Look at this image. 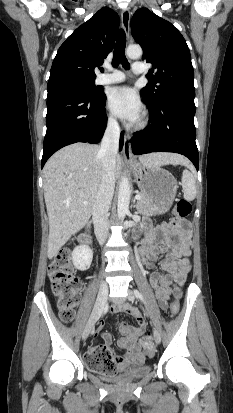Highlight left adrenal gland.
Segmentation results:
<instances>
[{
	"instance_id": "1",
	"label": "left adrenal gland",
	"mask_w": 233,
	"mask_h": 413,
	"mask_svg": "<svg viewBox=\"0 0 233 413\" xmlns=\"http://www.w3.org/2000/svg\"><path fill=\"white\" fill-rule=\"evenodd\" d=\"M133 207H135V199L133 200Z\"/></svg>"
}]
</instances>
